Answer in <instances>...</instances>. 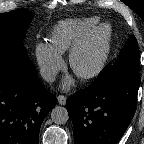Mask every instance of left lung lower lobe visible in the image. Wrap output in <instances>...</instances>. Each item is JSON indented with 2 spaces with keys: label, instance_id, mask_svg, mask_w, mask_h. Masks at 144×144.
I'll return each instance as SVG.
<instances>
[{
  "label": "left lung lower lobe",
  "instance_id": "0a47b994",
  "mask_svg": "<svg viewBox=\"0 0 144 144\" xmlns=\"http://www.w3.org/2000/svg\"><path fill=\"white\" fill-rule=\"evenodd\" d=\"M139 86V76L106 84L100 74L70 96L66 104L75 144H117L133 118Z\"/></svg>",
  "mask_w": 144,
  "mask_h": 144
}]
</instances>
